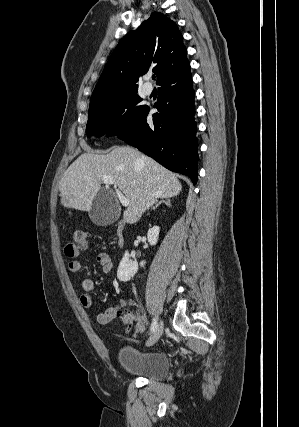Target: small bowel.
<instances>
[{
	"label": "small bowel",
	"instance_id": "1",
	"mask_svg": "<svg viewBox=\"0 0 299 427\" xmlns=\"http://www.w3.org/2000/svg\"><path fill=\"white\" fill-rule=\"evenodd\" d=\"M97 261L104 273H109L112 270L113 264L108 254L100 253L97 256ZM68 268L73 274H80L82 271L80 262L75 259L69 261ZM81 288L83 290V293L80 296L81 306L87 310L93 309L94 299L91 295V292L94 289L93 281L91 279H83L81 282ZM125 305H134V302L131 300L121 299L116 306L110 307L104 312L99 313L97 315V322L102 325L110 323L120 314L121 308ZM136 317L137 321L135 329L136 333L139 334L145 330V323L140 313H137Z\"/></svg>",
	"mask_w": 299,
	"mask_h": 427
}]
</instances>
